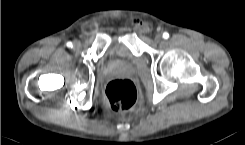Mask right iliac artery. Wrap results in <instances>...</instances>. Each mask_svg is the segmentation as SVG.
<instances>
[{
	"instance_id": "obj_1",
	"label": "right iliac artery",
	"mask_w": 245,
	"mask_h": 145,
	"mask_svg": "<svg viewBox=\"0 0 245 145\" xmlns=\"http://www.w3.org/2000/svg\"><path fill=\"white\" fill-rule=\"evenodd\" d=\"M67 47L72 48V42H67Z\"/></svg>"
}]
</instances>
